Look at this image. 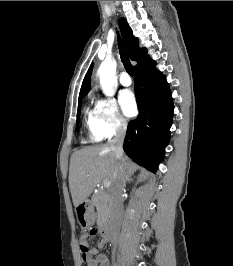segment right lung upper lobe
<instances>
[{"label": "right lung upper lobe", "instance_id": "cb5924a9", "mask_svg": "<svg viewBox=\"0 0 233 266\" xmlns=\"http://www.w3.org/2000/svg\"><path fill=\"white\" fill-rule=\"evenodd\" d=\"M119 26H120V30H121L126 48L128 50L129 56L131 60L137 62V65L134 67V69H136L139 66L143 65L144 63H146L147 61H149L150 57L147 56L146 48H141V49L139 48L138 38L133 36L132 30L129 27L126 19L120 18ZM92 67L93 65L90 66L87 74L85 75V78L81 86L79 98H83L90 90V76L92 72Z\"/></svg>", "mask_w": 233, "mask_h": 266}]
</instances>
